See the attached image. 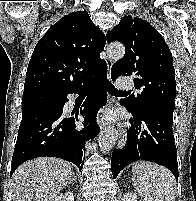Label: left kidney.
<instances>
[{"instance_id": "obj_1", "label": "left kidney", "mask_w": 196, "mask_h": 201, "mask_svg": "<svg viewBox=\"0 0 196 201\" xmlns=\"http://www.w3.org/2000/svg\"><path fill=\"white\" fill-rule=\"evenodd\" d=\"M123 201H137V196L134 193H126L123 195Z\"/></svg>"}]
</instances>
